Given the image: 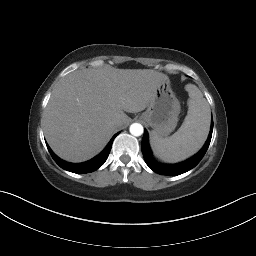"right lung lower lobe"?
Masks as SVG:
<instances>
[{"instance_id":"obj_1","label":"right lung lower lobe","mask_w":256,"mask_h":256,"mask_svg":"<svg viewBox=\"0 0 256 256\" xmlns=\"http://www.w3.org/2000/svg\"><path fill=\"white\" fill-rule=\"evenodd\" d=\"M116 136L117 134H115L112 137V139L110 140L106 148L98 156L94 157L89 161L78 163V164L63 161L62 159H60L58 156L54 154V152L50 149V147L47 144L46 145L52 158L62 169H65L73 173L84 174V173H89L97 170L99 167H101L105 163L110 153L113 140Z\"/></svg>"}]
</instances>
